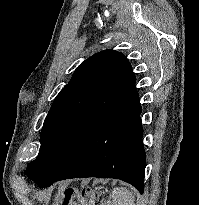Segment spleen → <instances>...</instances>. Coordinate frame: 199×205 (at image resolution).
Listing matches in <instances>:
<instances>
[{
	"mask_svg": "<svg viewBox=\"0 0 199 205\" xmlns=\"http://www.w3.org/2000/svg\"><path fill=\"white\" fill-rule=\"evenodd\" d=\"M114 205H134V196L126 188H114L111 193Z\"/></svg>",
	"mask_w": 199,
	"mask_h": 205,
	"instance_id": "3e777b00",
	"label": "spleen"
}]
</instances>
